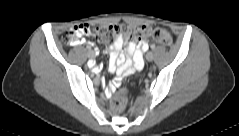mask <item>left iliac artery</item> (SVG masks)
<instances>
[{"instance_id": "1", "label": "left iliac artery", "mask_w": 239, "mask_h": 136, "mask_svg": "<svg viewBox=\"0 0 239 136\" xmlns=\"http://www.w3.org/2000/svg\"><path fill=\"white\" fill-rule=\"evenodd\" d=\"M148 48H149V46H148ZM151 49H155V45H151ZM147 50H144V51H147Z\"/></svg>"}]
</instances>
